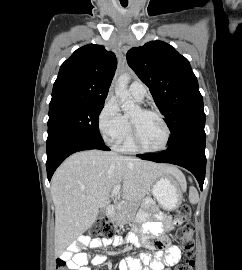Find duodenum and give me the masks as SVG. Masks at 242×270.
Segmentation results:
<instances>
[{"instance_id":"410a0bca","label":"duodenum","mask_w":242,"mask_h":270,"mask_svg":"<svg viewBox=\"0 0 242 270\" xmlns=\"http://www.w3.org/2000/svg\"><path fill=\"white\" fill-rule=\"evenodd\" d=\"M114 213H115V209L113 207H108L107 212H106L107 216L112 217Z\"/></svg>"}]
</instances>
